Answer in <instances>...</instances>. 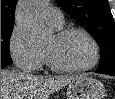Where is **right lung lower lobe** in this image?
<instances>
[{
	"mask_svg": "<svg viewBox=\"0 0 115 99\" xmlns=\"http://www.w3.org/2000/svg\"><path fill=\"white\" fill-rule=\"evenodd\" d=\"M6 66H8V65H1V68H5Z\"/></svg>",
	"mask_w": 115,
	"mask_h": 99,
	"instance_id": "98d812e1",
	"label": "right lung lower lobe"
}]
</instances>
